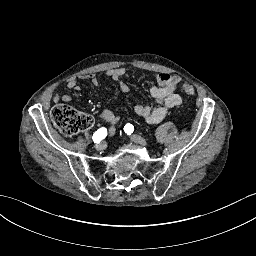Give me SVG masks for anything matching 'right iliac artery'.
Masks as SVG:
<instances>
[{
	"mask_svg": "<svg viewBox=\"0 0 256 256\" xmlns=\"http://www.w3.org/2000/svg\"><path fill=\"white\" fill-rule=\"evenodd\" d=\"M107 135V129L102 127L98 129L94 134H93V141L95 143H99L102 139H104Z\"/></svg>",
	"mask_w": 256,
	"mask_h": 256,
	"instance_id": "right-iliac-artery-1",
	"label": "right iliac artery"
}]
</instances>
